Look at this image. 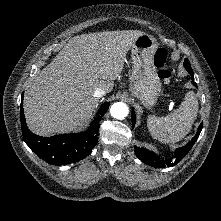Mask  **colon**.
I'll use <instances>...</instances> for the list:
<instances>
[{
  "instance_id": "obj_1",
  "label": "colon",
  "mask_w": 221,
  "mask_h": 221,
  "mask_svg": "<svg viewBox=\"0 0 221 221\" xmlns=\"http://www.w3.org/2000/svg\"><path fill=\"white\" fill-rule=\"evenodd\" d=\"M168 62V52L164 48H159L154 57V64L159 69L158 75L163 81H169L172 74L166 68Z\"/></svg>"
}]
</instances>
